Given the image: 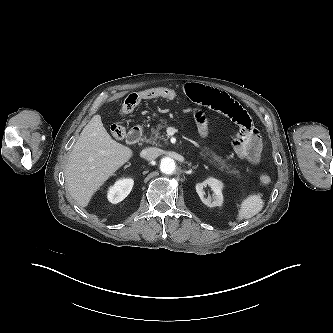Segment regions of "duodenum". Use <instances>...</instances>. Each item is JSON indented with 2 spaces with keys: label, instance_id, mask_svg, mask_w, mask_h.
Here are the masks:
<instances>
[{
  "label": "duodenum",
  "instance_id": "410a0bca",
  "mask_svg": "<svg viewBox=\"0 0 333 333\" xmlns=\"http://www.w3.org/2000/svg\"><path fill=\"white\" fill-rule=\"evenodd\" d=\"M143 130L141 126H135L127 134L126 141L129 144H136L142 138Z\"/></svg>",
  "mask_w": 333,
  "mask_h": 333
}]
</instances>
